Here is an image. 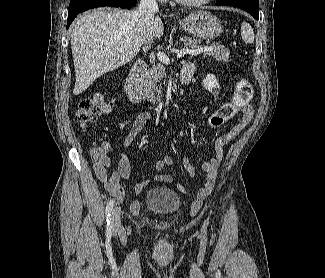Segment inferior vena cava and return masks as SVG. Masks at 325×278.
Here are the masks:
<instances>
[{"instance_id":"602c4592","label":"inferior vena cava","mask_w":325,"mask_h":278,"mask_svg":"<svg viewBox=\"0 0 325 278\" xmlns=\"http://www.w3.org/2000/svg\"><path fill=\"white\" fill-rule=\"evenodd\" d=\"M158 11L156 0H141L137 12L143 17L147 26H151L154 20V14ZM151 43L143 46V51L146 53L150 48Z\"/></svg>"}]
</instances>
